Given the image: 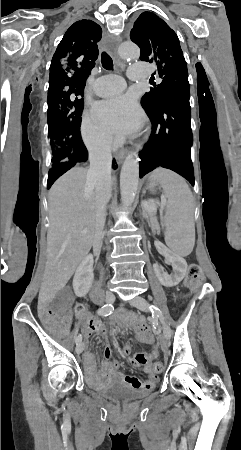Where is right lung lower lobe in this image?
I'll return each instance as SVG.
<instances>
[{"label": "right lung lower lobe", "instance_id": "1", "mask_svg": "<svg viewBox=\"0 0 241 450\" xmlns=\"http://www.w3.org/2000/svg\"><path fill=\"white\" fill-rule=\"evenodd\" d=\"M62 133L69 141V144L72 148V156L67 161L52 165L47 181L48 188L51 187L56 179H58L62 174L71 169L77 163L86 162L88 160V152L81 139L80 125L65 128L62 130ZM113 168H117L115 160H113Z\"/></svg>", "mask_w": 241, "mask_h": 450}]
</instances>
